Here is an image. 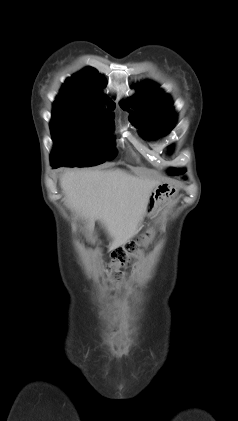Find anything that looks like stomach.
<instances>
[{"mask_svg": "<svg viewBox=\"0 0 238 421\" xmlns=\"http://www.w3.org/2000/svg\"><path fill=\"white\" fill-rule=\"evenodd\" d=\"M174 192L173 186L159 183L151 192L145 208V215L152 214L156 206Z\"/></svg>", "mask_w": 238, "mask_h": 421, "instance_id": "0dacf381", "label": "stomach"}]
</instances>
